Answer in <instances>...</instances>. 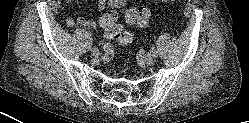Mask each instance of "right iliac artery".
Wrapping results in <instances>:
<instances>
[{"instance_id":"right-iliac-artery-1","label":"right iliac artery","mask_w":249,"mask_h":123,"mask_svg":"<svg viewBox=\"0 0 249 123\" xmlns=\"http://www.w3.org/2000/svg\"><path fill=\"white\" fill-rule=\"evenodd\" d=\"M103 48H104V50H105V51H107V52H108V51H110V50H111V45H110L109 43H107V44H105V45H104V47H103Z\"/></svg>"}]
</instances>
